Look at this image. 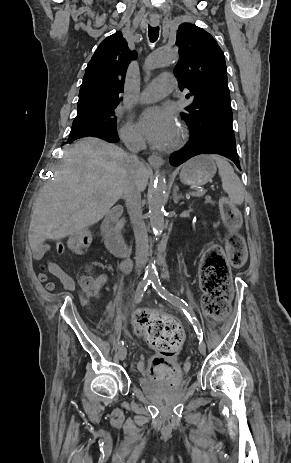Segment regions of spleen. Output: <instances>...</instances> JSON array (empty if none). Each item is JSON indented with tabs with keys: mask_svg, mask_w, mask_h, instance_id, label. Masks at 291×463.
<instances>
[{
	"mask_svg": "<svg viewBox=\"0 0 291 463\" xmlns=\"http://www.w3.org/2000/svg\"><path fill=\"white\" fill-rule=\"evenodd\" d=\"M208 158L215 160L219 169L222 187L228 194L230 202L235 205H241L244 201L245 188L232 166L221 157L210 155Z\"/></svg>",
	"mask_w": 291,
	"mask_h": 463,
	"instance_id": "1",
	"label": "spleen"
}]
</instances>
